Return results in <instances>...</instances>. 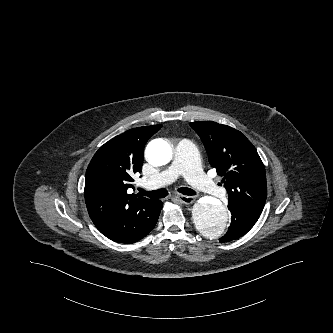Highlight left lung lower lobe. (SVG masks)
Here are the masks:
<instances>
[{"label": "left lung lower lobe", "instance_id": "left-lung-lower-lobe-1", "mask_svg": "<svg viewBox=\"0 0 333 333\" xmlns=\"http://www.w3.org/2000/svg\"><path fill=\"white\" fill-rule=\"evenodd\" d=\"M231 222L227 233L220 242H228L245 235L257 222L259 215L245 212L237 207H229Z\"/></svg>", "mask_w": 333, "mask_h": 333}]
</instances>
